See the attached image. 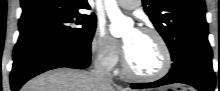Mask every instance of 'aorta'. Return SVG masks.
I'll use <instances>...</instances> for the list:
<instances>
[{
	"label": "aorta",
	"instance_id": "aorta-1",
	"mask_svg": "<svg viewBox=\"0 0 220 91\" xmlns=\"http://www.w3.org/2000/svg\"><path fill=\"white\" fill-rule=\"evenodd\" d=\"M105 8L111 21L110 31L113 36H121L128 26H131V20L124 17L117 6L116 0H105Z\"/></svg>",
	"mask_w": 220,
	"mask_h": 91
}]
</instances>
